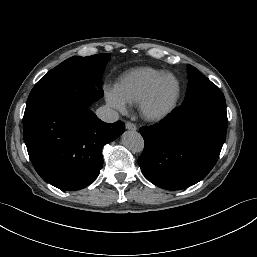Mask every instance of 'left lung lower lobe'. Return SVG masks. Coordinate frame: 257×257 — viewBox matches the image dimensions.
I'll return each instance as SVG.
<instances>
[{
    "mask_svg": "<svg viewBox=\"0 0 257 257\" xmlns=\"http://www.w3.org/2000/svg\"><path fill=\"white\" fill-rule=\"evenodd\" d=\"M225 100L181 105L160 124L142 127L145 147L138 159L144 176L168 190L189 187L215 165L227 131Z\"/></svg>",
    "mask_w": 257,
    "mask_h": 257,
    "instance_id": "left-lung-lower-lobe-1",
    "label": "left lung lower lobe"
}]
</instances>
